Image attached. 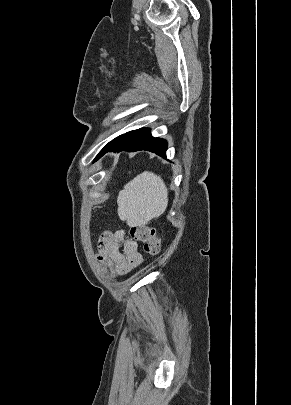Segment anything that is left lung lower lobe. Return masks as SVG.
Listing matches in <instances>:
<instances>
[{"label": "left lung lower lobe", "instance_id": "1", "mask_svg": "<svg viewBox=\"0 0 291 405\" xmlns=\"http://www.w3.org/2000/svg\"><path fill=\"white\" fill-rule=\"evenodd\" d=\"M147 150L166 158L167 142L154 138L149 129H137L121 135L114 143L105 146L96 160L109 151L120 152Z\"/></svg>", "mask_w": 291, "mask_h": 405}]
</instances>
